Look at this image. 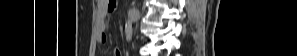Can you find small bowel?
<instances>
[{"mask_svg": "<svg viewBox=\"0 0 297 56\" xmlns=\"http://www.w3.org/2000/svg\"><path fill=\"white\" fill-rule=\"evenodd\" d=\"M98 12H99V37L98 41L100 43H105L107 41V35H106V16L112 12L116 7V1L114 0H98L97 2ZM115 56H121V50L116 49Z\"/></svg>", "mask_w": 297, "mask_h": 56, "instance_id": "obj_1", "label": "small bowel"}]
</instances>
